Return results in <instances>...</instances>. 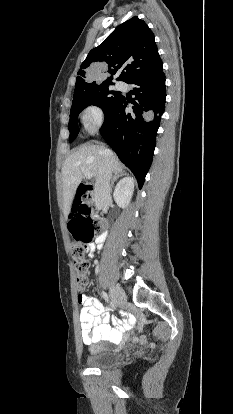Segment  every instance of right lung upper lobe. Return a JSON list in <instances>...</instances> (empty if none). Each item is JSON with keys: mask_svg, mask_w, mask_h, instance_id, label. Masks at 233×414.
<instances>
[{"mask_svg": "<svg viewBox=\"0 0 233 414\" xmlns=\"http://www.w3.org/2000/svg\"><path fill=\"white\" fill-rule=\"evenodd\" d=\"M104 65L111 77L103 82L92 81V68ZM162 68V61L148 25L132 17L118 26L98 47L92 49L82 63L76 79L74 96L100 84L112 82V76L123 69L117 80L127 82L149 75ZM73 96V97H74Z\"/></svg>", "mask_w": 233, "mask_h": 414, "instance_id": "cb5924a9", "label": "right lung upper lobe"}]
</instances>
